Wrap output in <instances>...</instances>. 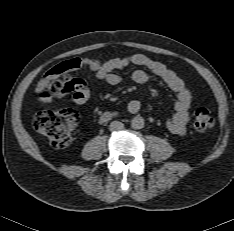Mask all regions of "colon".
<instances>
[{
  "instance_id": "5ec220e1",
  "label": "colon",
  "mask_w": 234,
  "mask_h": 231,
  "mask_svg": "<svg viewBox=\"0 0 234 231\" xmlns=\"http://www.w3.org/2000/svg\"><path fill=\"white\" fill-rule=\"evenodd\" d=\"M80 63L71 60L61 64L59 78L51 85L53 93L69 91L73 82L72 75ZM79 123V115L71 109L58 111L44 110L39 112L33 121L35 130L46 136L54 148H65L71 141V133ZM214 124L210 112L206 108H198L194 117V128L198 132L209 130Z\"/></svg>"
}]
</instances>
